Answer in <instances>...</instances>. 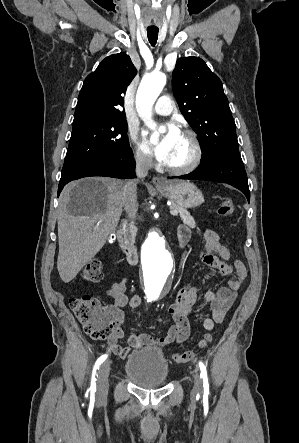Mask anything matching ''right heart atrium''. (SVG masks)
<instances>
[{"label":"right heart atrium","instance_id":"obj_1","mask_svg":"<svg viewBox=\"0 0 299 443\" xmlns=\"http://www.w3.org/2000/svg\"><path fill=\"white\" fill-rule=\"evenodd\" d=\"M131 139L134 143V159L135 162L143 168H148L152 164V160L147 151L137 142L135 133H131Z\"/></svg>","mask_w":299,"mask_h":443}]
</instances>
